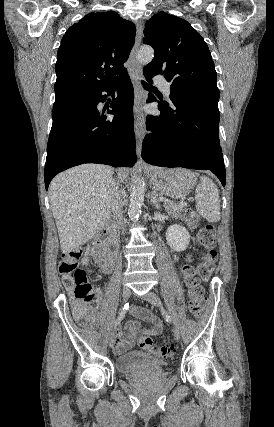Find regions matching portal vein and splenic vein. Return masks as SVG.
Segmentation results:
<instances>
[{"mask_svg":"<svg viewBox=\"0 0 274 427\" xmlns=\"http://www.w3.org/2000/svg\"><path fill=\"white\" fill-rule=\"evenodd\" d=\"M159 200H161V202H167V200H165V198H159Z\"/></svg>","mask_w":274,"mask_h":427,"instance_id":"1","label":"portal vein and splenic vein"}]
</instances>
